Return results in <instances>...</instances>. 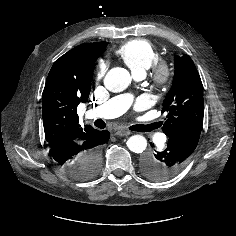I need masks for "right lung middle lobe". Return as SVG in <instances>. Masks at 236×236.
I'll list each match as a JSON object with an SVG mask.
<instances>
[{
    "instance_id": "dd1d6c3e",
    "label": "right lung middle lobe",
    "mask_w": 236,
    "mask_h": 236,
    "mask_svg": "<svg viewBox=\"0 0 236 236\" xmlns=\"http://www.w3.org/2000/svg\"><path fill=\"white\" fill-rule=\"evenodd\" d=\"M100 155V151H99ZM101 167V159L96 154H88L81 170V176L77 179H91L95 177Z\"/></svg>"
}]
</instances>
